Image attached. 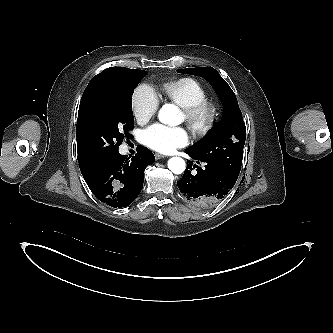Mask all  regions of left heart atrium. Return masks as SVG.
<instances>
[{
  "label": "left heart atrium",
  "mask_w": 333,
  "mask_h": 333,
  "mask_svg": "<svg viewBox=\"0 0 333 333\" xmlns=\"http://www.w3.org/2000/svg\"><path fill=\"white\" fill-rule=\"evenodd\" d=\"M142 142L155 151L171 153L175 149L187 145L189 136L182 127L154 124L143 131Z\"/></svg>",
  "instance_id": "1"
}]
</instances>
